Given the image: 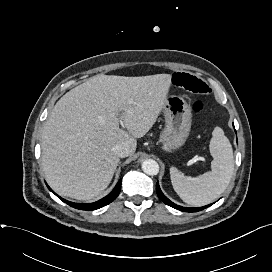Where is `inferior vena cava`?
<instances>
[{
	"mask_svg": "<svg viewBox=\"0 0 272 272\" xmlns=\"http://www.w3.org/2000/svg\"><path fill=\"white\" fill-rule=\"evenodd\" d=\"M112 150L121 158L129 156V148L126 143L117 144L112 148Z\"/></svg>",
	"mask_w": 272,
	"mask_h": 272,
	"instance_id": "602c4592",
	"label": "inferior vena cava"
}]
</instances>
